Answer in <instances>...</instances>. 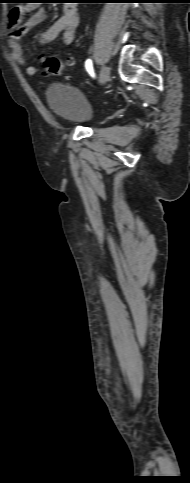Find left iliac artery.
<instances>
[{"instance_id":"44dca946","label":"left iliac artery","mask_w":190,"mask_h":483,"mask_svg":"<svg viewBox=\"0 0 190 483\" xmlns=\"http://www.w3.org/2000/svg\"><path fill=\"white\" fill-rule=\"evenodd\" d=\"M85 68L86 70L88 71V73L94 77V70H93V65H92V61L90 59L86 60L85 62Z\"/></svg>"}]
</instances>
